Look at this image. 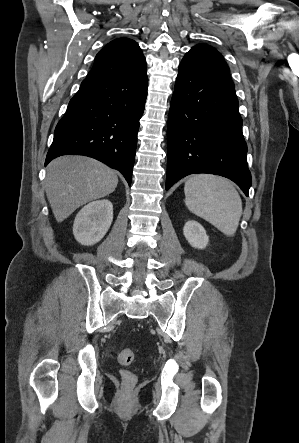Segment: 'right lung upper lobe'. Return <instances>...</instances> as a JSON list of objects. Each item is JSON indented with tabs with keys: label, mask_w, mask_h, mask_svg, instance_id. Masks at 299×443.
Returning a JSON list of instances; mask_svg holds the SVG:
<instances>
[{
	"label": "right lung upper lobe",
	"mask_w": 299,
	"mask_h": 443,
	"mask_svg": "<svg viewBox=\"0 0 299 443\" xmlns=\"http://www.w3.org/2000/svg\"><path fill=\"white\" fill-rule=\"evenodd\" d=\"M146 71V60L139 45L127 38L108 43L95 57L87 78L135 75Z\"/></svg>",
	"instance_id": "cb5924a9"
}]
</instances>
